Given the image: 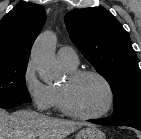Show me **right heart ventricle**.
I'll return each instance as SVG.
<instances>
[{
	"mask_svg": "<svg viewBox=\"0 0 141 139\" xmlns=\"http://www.w3.org/2000/svg\"><path fill=\"white\" fill-rule=\"evenodd\" d=\"M66 71L72 72L77 70L76 67H67V66H63ZM52 90V95H53V105L60 108V96H59V87H51Z\"/></svg>",
	"mask_w": 141,
	"mask_h": 139,
	"instance_id": "obj_1",
	"label": "right heart ventricle"
}]
</instances>
